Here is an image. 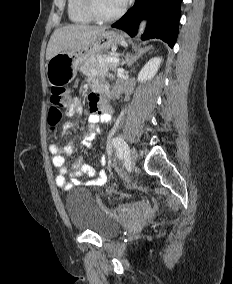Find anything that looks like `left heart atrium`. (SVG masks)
Listing matches in <instances>:
<instances>
[{
	"label": "left heart atrium",
	"instance_id": "obj_1",
	"mask_svg": "<svg viewBox=\"0 0 233 284\" xmlns=\"http://www.w3.org/2000/svg\"><path fill=\"white\" fill-rule=\"evenodd\" d=\"M121 5H125L128 0H118Z\"/></svg>",
	"mask_w": 233,
	"mask_h": 284
}]
</instances>
